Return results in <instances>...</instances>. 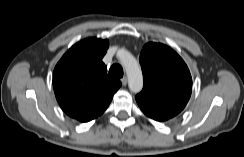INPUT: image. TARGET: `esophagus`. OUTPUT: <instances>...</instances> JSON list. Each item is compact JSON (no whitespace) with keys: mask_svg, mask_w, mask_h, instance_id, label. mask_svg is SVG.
<instances>
[{"mask_svg":"<svg viewBox=\"0 0 244 157\" xmlns=\"http://www.w3.org/2000/svg\"><path fill=\"white\" fill-rule=\"evenodd\" d=\"M121 82H122V85H123V86H126V85H127V77H123V78L121 79Z\"/></svg>","mask_w":244,"mask_h":157,"instance_id":"1","label":"esophagus"}]
</instances>
